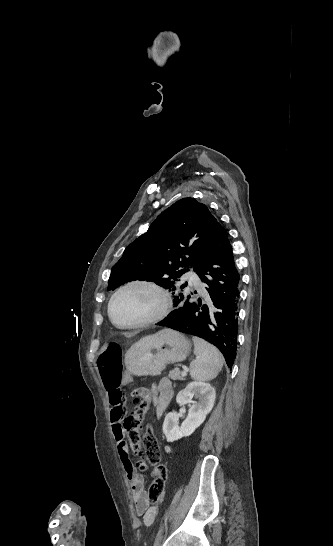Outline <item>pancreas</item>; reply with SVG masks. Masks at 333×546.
I'll return each mask as SVG.
<instances>
[{
  "instance_id": "obj_1",
  "label": "pancreas",
  "mask_w": 333,
  "mask_h": 546,
  "mask_svg": "<svg viewBox=\"0 0 333 546\" xmlns=\"http://www.w3.org/2000/svg\"><path fill=\"white\" fill-rule=\"evenodd\" d=\"M168 376L172 380H185V377L181 375V372L178 369L170 371Z\"/></svg>"
}]
</instances>
